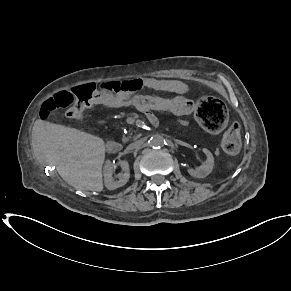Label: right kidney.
<instances>
[{
  "label": "right kidney",
  "mask_w": 291,
  "mask_h": 291,
  "mask_svg": "<svg viewBox=\"0 0 291 291\" xmlns=\"http://www.w3.org/2000/svg\"><path fill=\"white\" fill-rule=\"evenodd\" d=\"M119 165L122 168L123 173L119 175V180H114L113 173L115 167ZM117 165H113L110 161H107L104 166V183L107 189L115 190L121 186H124L130 177L129 164L127 161H119Z\"/></svg>",
  "instance_id": "ca27d5eb"
}]
</instances>
